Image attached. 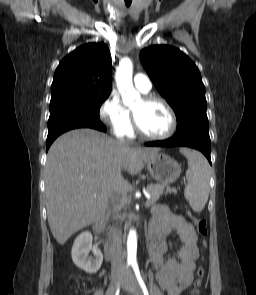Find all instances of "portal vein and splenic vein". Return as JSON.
Listing matches in <instances>:
<instances>
[{
	"mask_svg": "<svg viewBox=\"0 0 256 295\" xmlns=\"http://www.w3.org/2000/svg\"><path fill=\"white\" fill-rule=\"evenodd\" d=\"M150 198L146 201L145 206L149 205Z\"/></svg>",
	"mask_w": 256,
	"mask_h": 295,
	"instance_id": "obj_1",
	"label": "portal vein and splenic vein"
}]
</instances>
